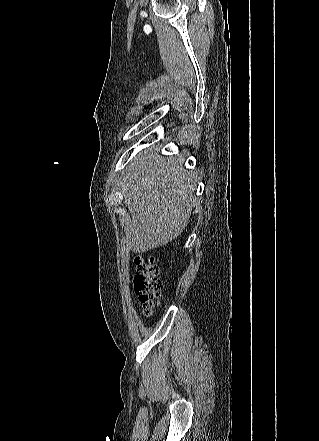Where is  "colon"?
Segmentation results:
<instances>
[{"instance_id":"5ec220e1","label":"colon","mask_w":319,"mask_h":441,"mask_svg":"<svg viewBox=\"0 0 319 441\" xmlns=\"http://www.w3.org/2000/svg\"><path fill=\"white\" fill-rule=\"evenodd\" d=\"M136 275L133 280L135 293L139 297L143 314L151 316L159 304L162 285L158 278V267L154 257L136 256L134 259Z\"/></svg>"}]
</instances>
